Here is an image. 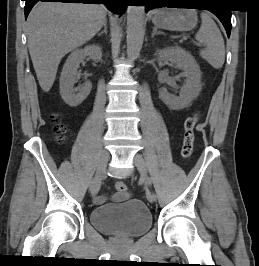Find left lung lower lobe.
I'll use <instances>...</instances> for the list:
<instances>
[{
  "mask_svg": "<svg viewBox=\"0 0 259 266\" xmlns=\"http://www.w3.org/2000/svg\"><path fill=\"white\" fill-rule=\"evenodd\" d=\"M192 0H141V3L145 6V11L157 7H178L180 5H193ZM206 2V1H205ZM212 11L224 25L228 37L231 32V11L229 9L221 8H206Z\"/></svg>",
  "mask_w": 259,
  "mask_h": 266,
  "instance_id": "1",
  "label": "left lung lower lobe"
}]
</instances>
